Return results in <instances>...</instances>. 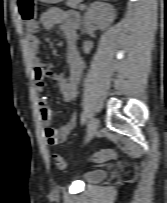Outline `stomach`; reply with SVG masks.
<instances>
[{"label": "stomach", "instance_id": "0dacf381", "mask_svg": "<svg viewBox=\"0 0 167 203\" xmlns=\"http://www.w3.org/2000/svg\"><path fill=\"white\" fill-rule=\"evenodd\" d=\"M40 2L48 3V4H57L62 2L63 0H39Z\"/></svg>", "mask_w": 167, "mask_h": 203}]
</instances>
